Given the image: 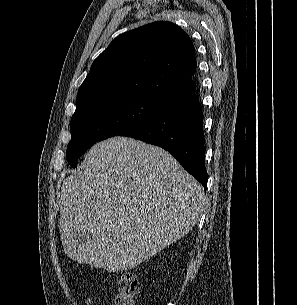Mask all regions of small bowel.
I'll list each match as a JSON object with an SVG mask.
<instances>
[{"label":"small bowel","mask_w":297,"mask_h":305,"mask_svg":"<svg viewBox=\"0 0 297 305\" xmlns=\"http://www.w3.org/2000/svg\"><path fill=\"white\" fill-rule=\"evenodd\" d=\"M88 305H92V301L91 300L88 301Z\"/></svg>","instance_id":"c3829d8e"}]
</instances>
